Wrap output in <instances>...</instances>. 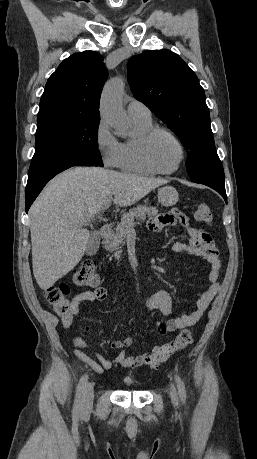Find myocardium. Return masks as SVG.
Masks as SVG:
<instances>
[{
    "mask_svg": "<svg viewBox=\"0 0 257 459\" xmlns=\"http://www.w3.org/2000/svg\"><path fill=\"white\" fill-rule=\"evenodd\" d=\"M158 134H166V135H168L170 138H172L174 140V142L177 144V146H178V148L180 150V159H179L176 167L171 169V170H163V169L159 168L155 164V162H154V160L152 158L151 146H152V142H153L154 138ZM140 149H141L142 158H143L144 162L146 163V165L153 172L158 173V174H163V175H171V174L176 173L181 168V166L183 165V163L185 161V158H186V149H185L182 141L179 139V137L174 132H172L171 130H169V129L165 128V127H161V126H153L143 134V136L141 138Z\"/></svg>",
    "mask_w": 257,
    "mask_h": 459,
    "instance_id": "1",
    "label": "myocardium"
}]
</instances>
